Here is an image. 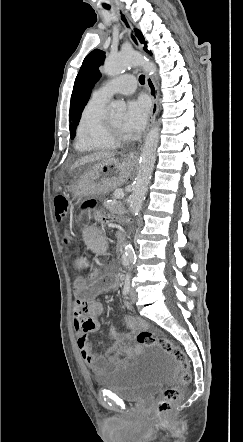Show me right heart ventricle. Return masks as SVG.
I'll return each mask as SVG.
<instances>
[{
    "instance_id": "e07e8e85",
    "label": "right heart ventricle",
    "mask_w": 243,
    "mask_h": 442,
    "mask_svg": "<svg viewBox=\"0 0 243 442\" xmlns=\"http://www.w3.org/2000/svg\"><path fill=\"white\" fill-rule=\"evenodd\" d=\"M105 105L106 101L92 97L83 108L76 131L75 149L78 152L111 149L116 146L103 133Z\"/></svg>"
}]
</instances>
